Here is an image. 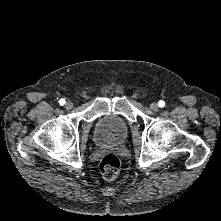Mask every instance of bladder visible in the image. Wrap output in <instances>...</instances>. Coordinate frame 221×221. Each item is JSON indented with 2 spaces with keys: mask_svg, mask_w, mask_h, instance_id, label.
I'll return each instance as SVG.
<instances>
[{
  "mask_svg": "<svg viewBox=\"0 0 221 221\" xmlns=\"http://www.w3.org/2000/svg\"><path fill=\"white\" fill-rule=\"evenodd\" d=\"M129 133L126 122L116 116L107 115L98 120L95 126V140L99 145L123 142Z\"/></svg>",
  "mask_w": 221,
  "mask_h": 221,
  "instance_id": "bladder-1",
  "label": "bladder"
}]
</instances>
